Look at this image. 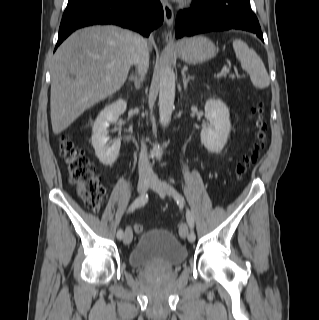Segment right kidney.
I'll return each instance as SVG.
<instances>
[{
    "label": "right kidney",
    "instance_id": "ca27d5eb",
    "mask_svg": "<svg viewBox=\"0 0 319 320\" xmlns=\"http://www.w3.org/2000/svg\"><path fill=\"white\" fill-rule=\"evenodd\" d=\"M127 103L123 99H119L110 105H107L97 116L92 128V146L99 161L106 166H111L116 161L121 141L115 140L111 144L109 141L108 127L110 123H115L119 116L126 110Z\"/></svg>",
    "mask_w": 319,
    "mask_h": 320
}]
</instances>
